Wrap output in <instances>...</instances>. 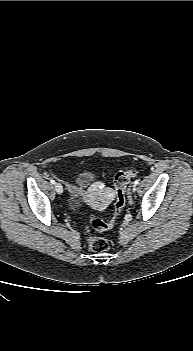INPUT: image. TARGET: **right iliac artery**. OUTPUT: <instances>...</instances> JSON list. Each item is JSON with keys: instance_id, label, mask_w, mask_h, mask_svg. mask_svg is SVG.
I'll use <instances>...</instances> for the list:
<instances>
[{"instance_id": "right-iliac-artery-1", "label": "right iliac artery", "mask_w": 193, "mask_h": 351, "mask_svg": "<svg viewBox=\"0 0 193 351\" xmlns=\"http://www.w3.org/2000/svg\"><path fill=\"white\" fill-rule=\"evenodd\" d=\"M50 183L55 184V180L54 179H50Z\"/></svg>"}]
</instances>
